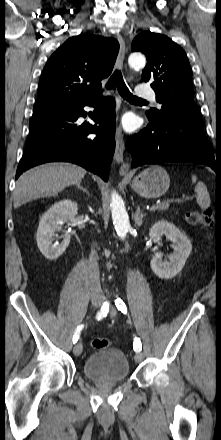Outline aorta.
I'll return each mask as SVG.
<instances>
[{"label": "aorta", "instance_id": "762f6f07", "mask_svg": "<svg viewBox=\"0 0 221 440\" xmlns=\"http://www.w3.org/2000/svg\"><path fill=\"white\" fill-rule=\"evenodd\" d=\"M128 64L132 68H142L146 64V59L141 53H132L128 58ZM111 213L116 232L120 238H125L130 229L128 213L124 202L115 191L111 194Z\"/></svg>", "mask_w": 221, "mask_h": 440}]
</instances>
